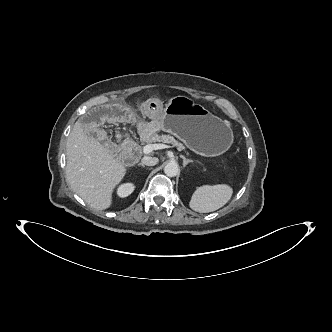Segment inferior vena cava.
I'll return each mask as SVG.
<instances>
[{
    "mask_svg": "<svg viewBox=\"0 0 332 332\" xmlns=\"http://www.w3.org/2000/svg\"><path fill=\"white\" fill-rule=\"evenodd\" d=\"M158 158L156 157H149V156H144L141 160L142 164L147 165V166H154L158 163Z\"/></svg>",
    "mask_w": 332,
    "mask_h": 332,
    "instance_id": "602c4592",
    "label": "inferior vena cava"
}]
</instances>
